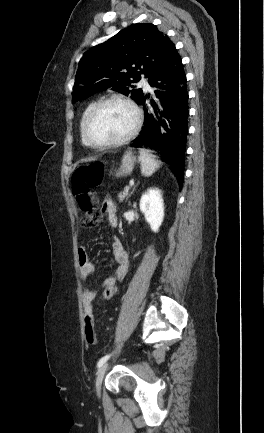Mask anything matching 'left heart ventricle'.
<instances>
[{"instance_id": "left-heart-ventricle-1", "label": "left heart ventricle", "mask_w": 264, "mask_h": 433, "mask_svg": "<svg viewBox=\"0 0 264 433\" xmlns=\"http://www.w3.org/2000/svg\"><path fill=\"white\" fill-rule=\"evenodd\" d=\"M134 123L132 111L120 103H109L99 108L88 124V134L96 142L123 137Z\"/></svg>"}]
</instances>
